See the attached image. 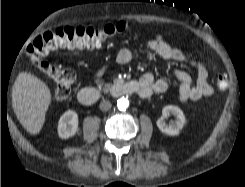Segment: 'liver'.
I'll use <instances>...</instances> for the list:
<instances>
[{"label":"liver","mask_w":245,"mask_h":187,"mask_svg":"<svg viewBox=\"0 0 245 187\" xmlns=\"http://www.w3.org/2000/svg\"><path fill=\"white\" fill-rule=\"evenodd\" d=\"M50 103L51 92L43 81L30 73L18 75L12 88V107L27 132L36 135L41 131Z\"/></svg>","instance_id":"6515ba94"}]
</instances>
